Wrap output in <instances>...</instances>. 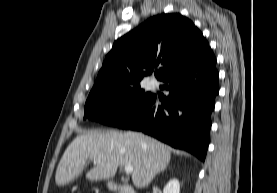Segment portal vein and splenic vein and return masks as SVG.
<instances>
[{"label": "portal vein and splenic vein", "mask_w": 277, "mask_h": 193, "mask_svg": "<svg viewBox=\"0 0 277 193\" xmlns=\"http://www.w3.org/2000/svg\"><path fill=\"white\" fill-rule=\"evenodd\" d=\"M124 169H125V172L127 174H130V173L133 172V167L132 166H125Z\"/></svg>", "instance_id": "1"}]
</instances>
